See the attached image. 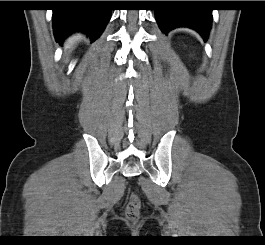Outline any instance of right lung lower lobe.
<instances>
[{"label":"right lung lower lobe","instance_id":"98d812e1","mask_svg":"<svg viewBox=\"0 0 265 245\" xmlns=\"http://www.w3.org/2000/svg\"><path fill=\"white\" fill-rule=\"evenodd\" d=\"M73 7L53 10V29L57 42L72 32L87 33L94 41L104 31L111 16L106 1H75Z\"/></svg>","mask_w":265,"mask_h":245}]
</instances>
